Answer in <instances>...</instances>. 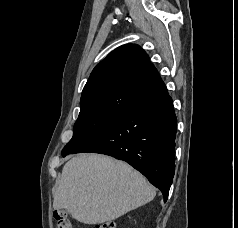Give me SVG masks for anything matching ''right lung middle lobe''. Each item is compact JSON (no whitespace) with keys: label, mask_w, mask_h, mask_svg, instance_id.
Instances as JSON below:
<instances>
[{"label":"right lung middle lobe","mask_w":238,"mask_h":228,"mask_svg":"<svg viewBox=\"0 0 238 228\" xmlns=\"http://www.w3.org/2000/svg\"><path fill=\"white\" fill-rule=\"evenodd\" d=\"M122 114L120 112H80L74 125L73 137L63 148L62 156L79 148Z\"/></svg>","instance_id":"right-lung-middle-lobe-1"}]
</instances>
